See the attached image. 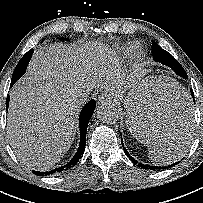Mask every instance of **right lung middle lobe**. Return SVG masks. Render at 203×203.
Segmentation results:
<instances>
[{"label": "right lung middle lobe", "instance_id": "right-lung-middle-lobe-1", "mask_svg": "<svg viewBox=\"0 0 203 203\" xmlns=\"http://www.w3.org/2000/svg\"><path fill=\"white\" fill-rule=\"evenodd\" d=\"M25 71H26V67L20 66L19 64H17L13 72L11 82L15 83L25 73Z\"/></svg>", "mask_w": 203, "mask_h": 203}]
</instances>
